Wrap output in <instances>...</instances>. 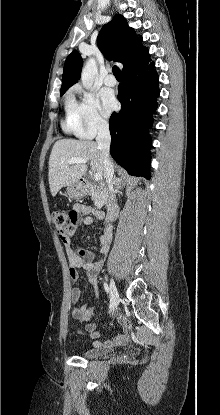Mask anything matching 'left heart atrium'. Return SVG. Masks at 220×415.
<instances>
[{
  "label": "left heart atrium",
  "mask_w": 220,
  "mask_h": 415,
  "mask_svg": "<svg viewBox=\"0 0 220 415\" xmlns=\"http://www.w3.org/2000/svg\"><path fill=\"white\" fill-rule=\"evenodd\" d=\"M102 109L105 115H109L117 106L114 93L110 90H102L101 92Z\"/></svg>",
  "instance_id": "39dd6f15"
}]
</instances>
